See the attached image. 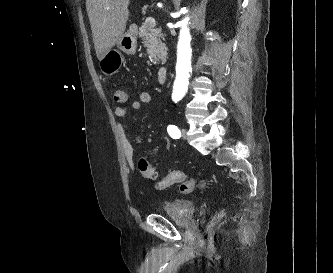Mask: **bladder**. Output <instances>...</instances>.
Segmentation results:
<instances>
[{"instance_id":"obj_1","label":"bladder","mask_w":333,"mask_h":273,"mask_svg":"<svg viewBox=\"0 0 333 273\" xmlns=\"http://www.w3.org/2000/svg\"><path fill=\"white\" fill-rule=\"evenodd\" d=\"M161 213L179 226H190L194 221L195 206L187 199L170 202Z\"/></svg>"}]
</instances>
